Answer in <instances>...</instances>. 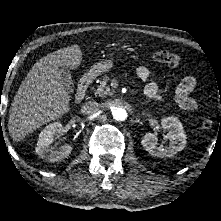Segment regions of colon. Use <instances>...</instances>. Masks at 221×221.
I'll return each mask as SVG.
<instances>
[{"label":"colon","mask_w":221,"mask_h":221,"mask_svg":"<svg viewBox=\"0 0 221 221\" xmlns=\"http://www.w3.org/2000/svg\"><path fill=\"white\" fill-rule=\"evenodd\" d=\"M152 59L158 63L166 64L169 66H178L181 62V58L178 54L168 50H156L152 53ZM201 127L205 130H209L213 127V121L205 118L201 121Z\"/></svg>","instance_id":"5ec220e1"}]
</instances>
